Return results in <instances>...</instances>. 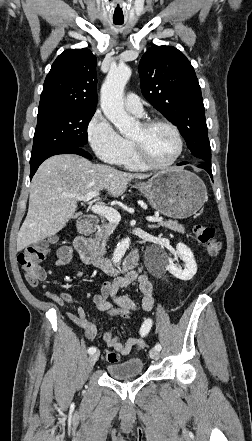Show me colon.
I'll list each match as a JSON object with an SVG mask.
<instances>
[{
    "mask_svg": "<svg viewBox=\"0 0 252 441\" xmlns=\"http://www.w3.org/2000/svg\"><path fill=\"white\" fill-rule=\"evenodd\" d=\"M193 234L197 241L204 245L209 256H216L220 252L221 242L216 238L213 227L197 224L193 227ZM48 251L49 243L44 241L26 247L18 255V263L31 286H37L46 278V272L41 263L46 258ZM136 309L135 304H127L114 305L105 311L110 317L130 319ZM105 356L109 363H117L120 360V354L116 351H107Z\"/></svg>",
    "mask_w": 252,
    "mask_h": 441,
    "instance_id": "colon-1",
    "label": "colon"
}]
</instances>
